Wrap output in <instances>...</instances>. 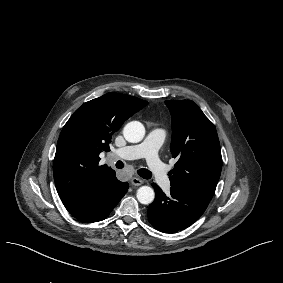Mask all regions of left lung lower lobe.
Returning a JSON list of instances; mask_svg holds the SVG:
<instances>
[{"mask_svg":"<svg viewBox=\"0 0 283 283\" xmlns=\"http://www.w3.org/2000/svg\"><path fill=\"white\" fill-rule=\"evenodd\" d=\"M155 200L149 205L148 220L152 226L164 233L183 230L198 220L209 202L191 193L171 186L170 195H166L155 183Z\"/></svg>","mask_w":283,"mask_h":283,"instance_id":"0a47b994","label":"left lung lower lobe"}]
</instances>
